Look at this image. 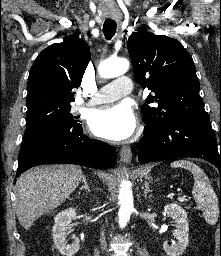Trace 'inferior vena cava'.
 I'll list each match as a JSON object with an SVG mask.
<instances>
[{"label":"inferior vena cava","instance_id":"602c4592","mask_svg":"<svg viewBox=\"0 0 221 256\" xmlns=\"http://www.w3.org/2000/svg\"><path fill=\"white\" fill-rule=\"evenodd\" d=\"M100 241H101V245L103 246V249H104L105 246H106V242H105V238H104V233L103 232L101 233Z\"/></svg>","mask_w":221,"mask_h":256}]
</instances>
